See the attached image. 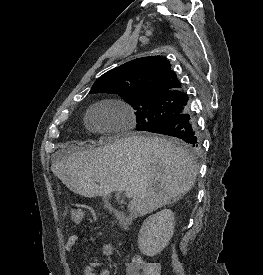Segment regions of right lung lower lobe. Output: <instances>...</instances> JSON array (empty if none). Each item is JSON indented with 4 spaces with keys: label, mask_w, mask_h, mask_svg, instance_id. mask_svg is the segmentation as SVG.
I'll return each instance as SVG.
<instances>
[{
    "label": "right lung lower lobe",
    "mask_w": 263,
    "mask_h": 275,
    "mask_svg": "<svg viewBox=\"0 0 263 275\" xmlns=\"http://www.w3.org/2000/svg\"><path fill=\"white\" fill-rule=\"evenodd\" d=\"M149 132L182 139L193 149H197L200 146L196 122L187 111L151 129Z\"/></svg>",
    "instance_id": "1"
}]
</instances>
